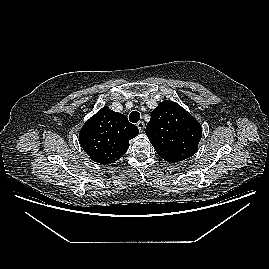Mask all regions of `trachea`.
Returning a JSON list of instances; mask_svg holds the SVG:
<instances>
[{
	"instance_id": "trachea-1",
	"label": "trachea",
	"mask_w": 269,
	"mask_h": 269,
	"mask_svg": "<svg viewBox=\"0 0 269 269\" xmlns=\"http://www.w3.org/2000/svg\"><path fill=\"white\" fill-rule=\"evenodd\" d=\"M129 120L132 122V123H136L140 120V113L137 112V111H132L129 115Z\"/></svg>"
}]
</instances>
